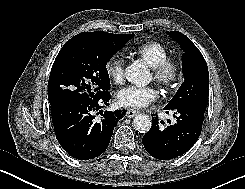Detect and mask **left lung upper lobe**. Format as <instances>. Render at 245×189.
<instances>
[{"instance_id": "5c2ea615", "label": "left lung upper lobe", "mask_w": 245, "mask_h": 189, "mask_svg": "<svg viewBox=\"0 0 245 189\" xmlns=\"http://www.w3.org/2000/svg\"><path fill=\"white\" fill-rule=\"evenodd\" d=\"M169 35L180 44L184 51L182 55L184 82L166 106L177 108L195 105L206 110L209 94V73L206 61L199 49L184 34L172 31Z\"/></svg>"}]
</instances>
